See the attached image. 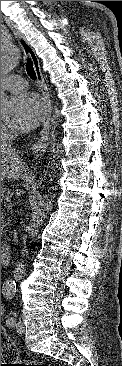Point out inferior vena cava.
<instances>
[{
  "label": "inferior vena cava",
  "instance_id": "obj_1",
  "mask_svg": "<svg viewBox=\"0 0 122 366\" xmlns=\"http://www.w3.org/2000/svg\"><path fill=\"white\" fill-rule=\"evenodd\" d=\"M7 140H8V142H6ZM10 141H11V140H9L8 138H5V139H3V142H2V143H3L4 145H6V146H7V144H8V146H9V147H11V142H10Z\"/></svg>",
  "mask_w": 122,
  "mask_h": 366
}]
</instances>
